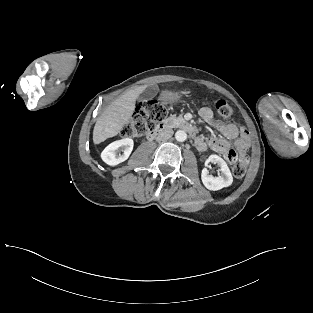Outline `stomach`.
Listing matches in <instances>:
<instances>
[{"instance_id":"1","label":"stomach","mask_w":313,"mask_h":313,"mask_svg":"<svg viewBox=\"0 0 313 313\" xmlns=\"http://www.w3.org/2000/svg\"><path fill=\"white\" fill-rule=\"evenodd\" d=\"M180 99V94L177 92L166 91L161 94L163 102H176Z\"/></svg>"}]
</instances>
